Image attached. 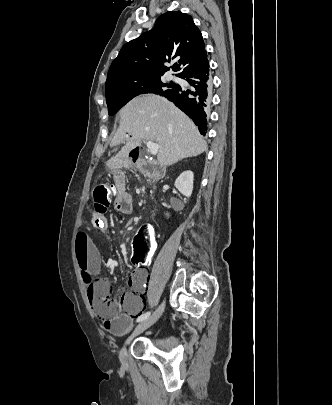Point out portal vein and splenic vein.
<instances>
[{"mask_svg":"<svg viewBox=\"0 0 332 405\" xmlns=\"http://www.w3.org/2000/svg\"><path fill=\"white\" fill-rule=\"evenodd\" d=\"M146 146L148 148V151L150 152V154L152 155H156L159 149V145L155 142L152 141H148L146 142Z\"/></svg>","mask_w":332,"mask_h":405,"instance_id":"portal-vein-and-splenic-vein-1","label":"portal vein and splenic vein"}]
</instances>
